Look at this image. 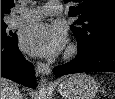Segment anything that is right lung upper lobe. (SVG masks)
<instances>
[{
    "mask_svg": "<svg viewBox=\"0 0 115 99\" xmlns=\"http://www.w3.org/2000/svg\"><path fill=\"white\" fill-rule=\"evenodd\" d=\"M14 6L13 0H1V22L5 14L10 13V8Z\"/></svg>",
    "mask_w": 115,
    "mask_h": 99,
    "instance_id": "right-lung-upper-lobe-1",
    "label": "right lung upper lobe"
}]
</instances>
